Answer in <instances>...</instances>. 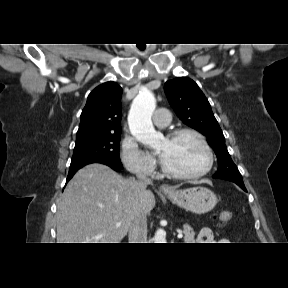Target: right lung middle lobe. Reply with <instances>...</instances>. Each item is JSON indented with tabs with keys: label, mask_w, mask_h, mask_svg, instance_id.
Masks as SVG:
<instances>
[{
	"label": "right lung middle lobe",
	"mask_w": 288,
	"mask_h": 288,
	"mask_svg": "<svg viewBox=\"0 0 288 288\" xmlns=\"http://www.w3.org/2000/svg\"><path fill=\"white\" fill-rule=\"evenodd\" d=\"M121 133L106 134L76 141L71 164L90 159H103L123 167L119 157Z\"/></svg>",
	"instance_id": "1"
}]
</instances>
